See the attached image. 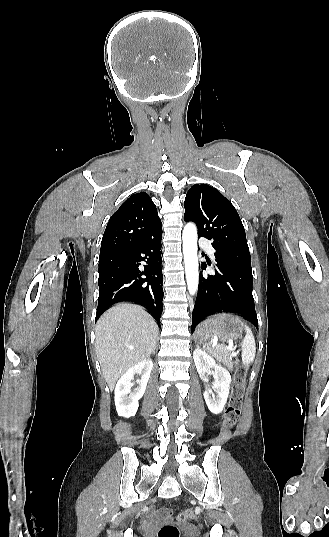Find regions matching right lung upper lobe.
<instances>
[{
  "label": "right lung upper lobe",
  "mask_w": 329,
  "mask_h": 537,
  "mask_svg": "<svg viewBox=\"0 0 329 537\" xmlns=\"http://www.w3.org/2000/svg\"><path fill=\"white\" fill-rule=\"evenodd\" d=\"M161 232L155 204L145 192L133 194L109 219L100 255L129 250Z\"/></svg>",
  "instance_id": "1"
}]
</instances>
